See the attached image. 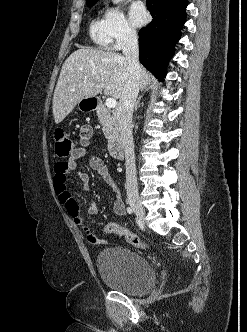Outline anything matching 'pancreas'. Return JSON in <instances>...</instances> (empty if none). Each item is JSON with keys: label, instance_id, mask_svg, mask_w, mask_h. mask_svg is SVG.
<instances>
[{"label": "pancreas", "instance_id": "pancreas-1", "mask_svg": "<svg viewBox=\"0 0 247 332\" xmlns=\"http://www.w3.org/2000/svg\"><path fill=\"white\" fill-rule=\"evenodd\" d=\"M98 119L103 126V133L105 137L112 141L118 137V125L116 116L111 110H109L106 106L101 105L97 109Z\"/></svg>", "mask_w": 247, "mask_h": 332}]
</instances>
